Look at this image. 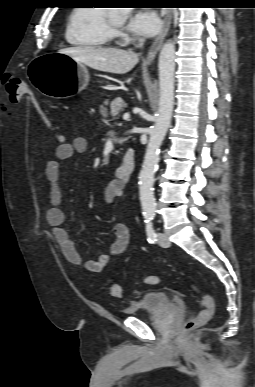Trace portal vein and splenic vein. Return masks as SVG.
I'll list each match as a JSON object with an SVG mask.
<instances>
[{"instance_id":"1","label":"portal vein and splenic vein","mask_w":255,"mask_h":387,"mask_svg":"<svg viewBox=\"0 0 255 387\" xmlns=\"http://www.w3.org/2000/svg\"><path fill=\"white\" fill-rule=\"evenodd\" d=\"M130 117V115H129V113H124V115H123V119H128Z\"/></svg>"}]
</instances>
